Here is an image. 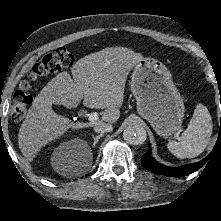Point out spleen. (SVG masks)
<instances>
[{
    "mask_svg": "<svg viewBox=\"0 0 221 221\" xmlns=\"http://www.w3.org/2000/svg\"><path fill=\"white\" fill-rule=\"evenodd\" d=\"M212 118L206 106L199 103L193 113L187 129L178 141H170L168 150L177 158H194L207 147L212 134Z\"/></svg>",
    "mask_w": 221,
    "mask_h": 221,
    "instance_id": "3e777b00",
    "label": "spleen"
}]
</instances>
